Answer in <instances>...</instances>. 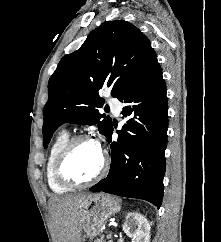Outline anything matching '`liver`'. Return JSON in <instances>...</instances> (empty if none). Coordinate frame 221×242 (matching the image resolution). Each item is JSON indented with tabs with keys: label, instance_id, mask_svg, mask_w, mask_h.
Instances as JSON below:
<instances>
[{
	"label": "liver",
	"instance_id": "liver-1",
	"mask_svg": "<svg viewBox=\"0 0 221 242\" xmlns=\"http://www.w3.org/2000/svg\"><path fill=\"white\" fill-rule=\"evenodd\" d=\"M87 196L88 194H77L50 200L56 242H81L78 209Z\"/></svg>",
	"mask_w": 221,
	"mask_h": 242
}]
</instances>
